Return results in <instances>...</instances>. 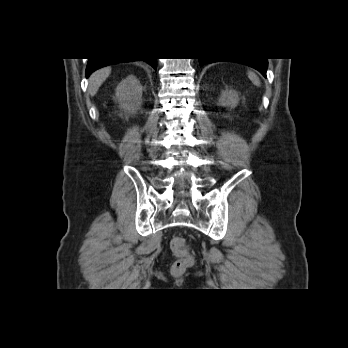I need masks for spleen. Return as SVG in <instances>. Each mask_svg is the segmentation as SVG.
<instances>
[{"label":"spleen","instance_id":"1","mask_svg":"<svg viewBox=\"0 0 348 348\" xmlns=\"http://www.w3.org/2000/svg\"><path fill=\"white\" fill-rule=\"evenodd\" d=\"M248 78L255 86H260L259 77L252 71H248Z\"/></svg>","mask_w":348,"mask_h":348}]
</instances>
